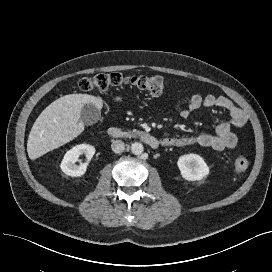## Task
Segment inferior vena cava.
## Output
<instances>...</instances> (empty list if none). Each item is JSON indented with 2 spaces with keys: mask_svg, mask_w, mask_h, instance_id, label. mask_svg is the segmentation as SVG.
<instances>
[{
  "mask_svg": "<svg viewBox=\"0 0 272 272\" xmlns=\"http://www.w3.org/2000/svg\"><path fill=\"white\" fill-rule=\"evenodd\" d=\"M111 148L114 153H122L125 150V144L121 140H115L112 142Z\"/></svg>",
  "mask_w": 272,
  "mask_h": 272,
  "instance_id": "602c4592",
  "label": "inferior vena cava"
}]
</instances>
